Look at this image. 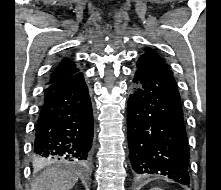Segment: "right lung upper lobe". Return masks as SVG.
<instances>
[{
	"label": "right lung upper lobe",
	"mask_w": 221,
	"mask_h": 190,
	"mask_svg": "<svg viewBox=\"0 0 221 190\" xmlns=\"http://www.w3.org/2000/svg\"><path fill=\"white\" fill-rule=\"evenodd\" d=\"M79 72V69L74 65L73 61L66 58L63 59L52 71L48 85L65 79Z\"/></svg>",
	"instance_id": "cb5924a9"
}]
</instances>
